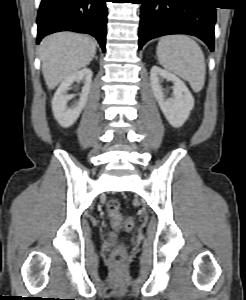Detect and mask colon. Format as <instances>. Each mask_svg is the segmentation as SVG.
Segmentation results:
<instances>
[{
	"label": "colon",
	"instance_id": "5ec220e1",
	"mask_svg": "<svg viewBox=\"0 0 246 300\" xmlns=\"http://www.w3.org/2000/svg\"><path fill=\"white\" fill-rule=\"evenodd\" d=\"M119 202L115 199H111L107 202L106 208L109 217L112 219L113 225L116 228L124 231H129L133 227V219L131 217L122 216L119 214ZM126 253L122 247L116 248L112 253V260L114 262H122L125 259Z\"/></svg>",
	"mask_w": 246,
	"mask_h": 300
}]
</instances>
